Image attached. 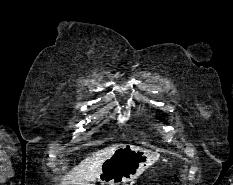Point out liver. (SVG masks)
I'll use <instances>...</instances> for the list:
<instances>
[{
    "label": "liver",
    "mask_w": 233,
    "mask_h": 185,
    "mask_svg": "<svg viewBox=\"0 0 233 185\" xmlns=\"http://www.w3.org/2000/svg\"><path fill=\"white\" fill-rule=\"evenodd\" d=\"M122 144H114L92 153L61 179L60 185H94L101 166Z\"/></svg>",
    "instance_id": "1"
}]
</instances>
